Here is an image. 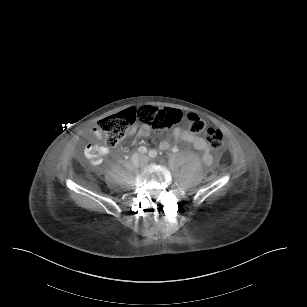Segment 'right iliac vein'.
I'll list each match as a JSON object with an SVG mask.
<instances>
[{"mask_svg": "<svg viewBox=\"0 0 307 307\" xmlns=\"http://www.w3.org/2000/svg\"><path fill=\"white\" fill-rule=\"evenodd\" d=\"M132 160H133V162L136 163V165H137L138 159H133V158H132Z\"/></svg>", "mask_w": 307, "mask_h": 307, "instance_id": "63e3f726", "label": "right iliac vein"}]
</instances>
